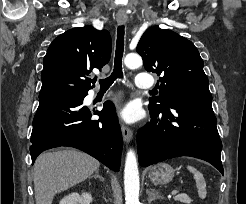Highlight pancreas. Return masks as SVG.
Returning a JSON list of instances; mask_svg holds the SVG:
<instances>
[{
  "label": "pancreas",
  "mask_w": 246,
  "mask_h": 204,
  "mask_svg": "<svg viewBox=\"0 0 246 204\" xmlns=\"http://www.w3.org/2000/svg\"><path fill=\"white\" fill-rule=\"evenodd\" d=\"M176 201H180L182 203H190L191 202V198L186 195V194H179L175 197Z\"/></svg>",
  "instance_id": "1"
}]
</instances>
